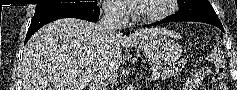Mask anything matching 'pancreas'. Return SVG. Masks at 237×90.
I'll return each mask as SVG.
<instances>
[{
    "mask_svg": "<svg viewBox=\"0 0 237 90\" xmlns=\"http://www.w3.org/2000/svg\"><path fill=\"white\" fill-rule=\"evenodd\" d=\"M182 68V62H177V64H163V67H155V72H162L160 76L162 80H165L166 76L177 74V72H181Z\"/></svg>",
    "mask_w": 237,
    "mask_h": 90,
    "instance_id": "obj_1",
    "label": "pancreas"
}]
</instances>
